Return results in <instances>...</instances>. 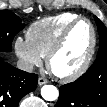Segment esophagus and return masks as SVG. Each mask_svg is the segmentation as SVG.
Here are the masks:
<instances>
[{
	"label": "esophagus",
	"instance_id": "esophagus-1",
	"mask_svg": "<svg viewBox=\"0 0 107 107\" xmlns=\"http://www.w3.org/2000/svg\"><path fill=\"white\" fill-rule=\"evenodd\" d=\"M48 83V80L43 78V77H39L38 79V85H44V84H47Z\"/></svg>",
	"mask_w": 107,
	"mask_h": 107
}]
</instances>
